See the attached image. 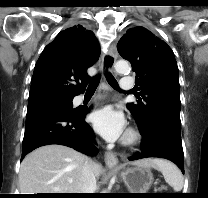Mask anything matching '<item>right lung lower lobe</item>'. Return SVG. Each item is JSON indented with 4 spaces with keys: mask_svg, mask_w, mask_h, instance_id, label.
<instances>
[{
    "mask_svg": "<svg viewBox=\"0 0 208 198\" xmlns=\"http://www.w3.org/2000/svg\"><path fill=\"white\" fill-rule=\"evenodd\" d=\"M88 108H38L27 112L22 155L49 144L71 147L85 154L96 153L93 132L84 121Z\"/></svg>",
    "mask_w": 208,
    "mask_h": 198,
    "instance_id": "1",
    "label": "right lung lower lobe"
}]
</instances>
